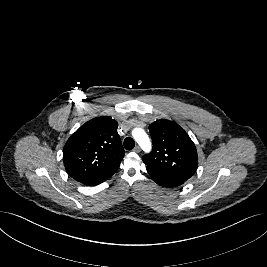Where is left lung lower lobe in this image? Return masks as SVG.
<instances>
[{"label": "left lung lower lobe", "instance_id": "obj_1", "mask_svg": "<svg viewBox=\"0 0 267 267\" xmlns=\"http://www.w3.org/2000/svg\"><path fill=\"white\" fill-rule=\"evenodd\" d=\"M149 175L152 177V179L158 184L163 187H168V188H173V187H178L182 185L185 181L182 179L174 178V177H169L165 176L159 173H155L149 169H147Z\"/></svg>", "mask_w": 267, "mask_h": 267}]
</instances>
